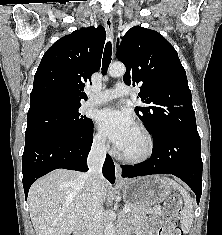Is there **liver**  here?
Instances as JSON below:
<instances>
[{
  "label": "liver",
  "instance_id": "6515ba94",
  "mask_svg": "<svg viewBox=\"0 0 222 235\" xmlns=\"http://www.w3.org/2000/svg\"><path fill=\"white\" fill-rule=\"evenodd\" d=\"M84 173L57 169L34 182L29 190V211L36 235H70L83 222L86 210ZM103 198L109 190L101 180Z\"/></svg>",
  "mask_w": 222,
  "mask_h": 235
}]
</instances>
